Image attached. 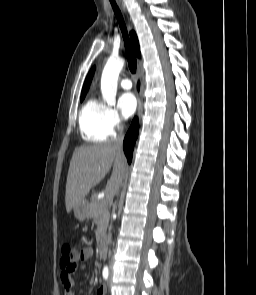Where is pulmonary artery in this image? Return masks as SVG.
<instances>
[{
  "label": "pulmonary artery",
  "instance_id": "1",
  "mask_svg": "<svg viewBox=\"0 0 256 295\" xmlns=\"http://www.w3.org/2000/svg\"><path fill=\"white\" fill-rule=\"evenodd\" d=\"M120 85L125 90H130L132 88V82L129 78H123L120 81Z\"/></svg>",
  "mask_w": 256,
  "mask_h": 295
}]
</instances>
